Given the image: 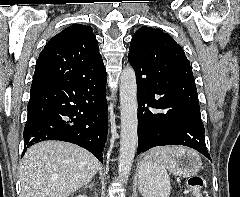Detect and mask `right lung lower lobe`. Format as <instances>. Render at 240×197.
I'll list each match as a JSON object with an SVG mask.
<instances>
[{
    "label": "right lung lower lobe",
    "instance_id": "98d812e1",
    "mask_svg": "<svg viewBox=\"0 0 240 197\" xmlns=\"http://www.w3.org/2000/svg\"><path fill=\"white\" fill-rule=\"evenodd\" d=\"M107 132L106 72L31 86L23 154L35 143L61 140L87 149L102 161Z\"/></svg>",
    "mask_w": 240,
    "mask_h": 197
}]
</instances>
